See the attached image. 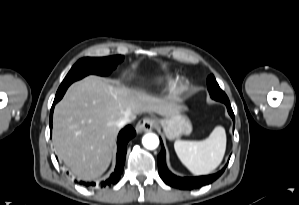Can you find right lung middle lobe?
Here are the masks:
<instances>
[{
	"mask_svg": "<svg viewBox=\"0 0 299 205\" xmlns=\"http://www.w3.org/2000/svg\"><path fill=\"white\" fill-rule=\"evenodd\" d=\"M124 56H110L103 58H82L71 68L55 96V100H60L66 92L68 86L76 80H79L89 74L101 76L109 75L116 66L123 61Z\"/></svg>",
	"mask_w": 299,
	"mask_h": 205,
	"instance_id": "obj_1",
	"label": "right lung middle lobe"
}]
</instances>
